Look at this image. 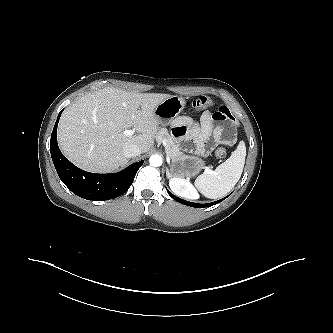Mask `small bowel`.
<instances>
[{"label": "small bowel", "instance_id": "obj_1", "mask_svg": "<svg viewBox=\"0 0 333 333\" xmlns=\"http://www.w3.org/2000/svg\"><path fill=\"white\" fill-rule=\"evenodd\" d=\"M225 125L229 127L228 139H224ZM234 127L230 110L220 106L215 112L205 111L199 123L186 116L175 119L173 133L190 143L196 154L205 156L218 144H231L234 141Z\"/></svg>", "mask_w": 333, "mask_h": 333}]
</instances>
